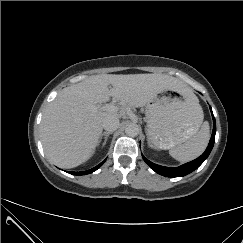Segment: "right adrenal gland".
<instances>
[{
	"mask_svg": "<svg viewBox=\"0 0 243 243\" xmlns=\"http://www.w3.org/2000/svg\"><path fill=\"white\" fill-rule=\"evenodd\" d=\"M112 133H113V132H104V133L101 134L100 139H99V143H101L102 138L104 137V142H103V144H102V148L106 145V142H107V140H108V137H109V135L112 134Z\"/></svg>",
	"mask_w": 243,
	"mask_h": 243,
	"instance_id": "2a0ac1e0",
	"label": "right adrenal gland"
}]
</instances>
